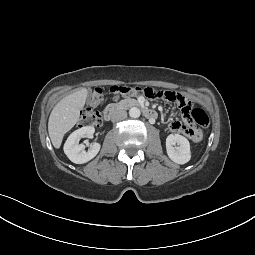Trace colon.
<instances>
[{"mask_svg":"<svg viewBox=\"0 0 255 255\" xmlns=\"http://www.w3.org/2000/svg\"><path fill=\"white\" fill-rule=\"evenodd\" d=\"M110 92L114 96H125V95H139L144 94L146 97L163 98L171 102H179V106L182 107V112L188 122L184 128L185 135L193 142H200L203 140V132L199 127H206L209 124V116L202 109L192 108V99L186 95H181L180 92H170L164 90H155L151 87L141 88L138 86H113L110 88ZM104 99L103 91L100 88H95L92 92L89 106L83 111L79 126L82 128L99 126L101 123L100 114L96 111V108L101 105ZM193 121L197 124L196 127L190 124Z\"/></svg>","mask_w":255,"mask_h":255,"instance_id":"5ec220e1","label":"colon"}]
</instances>
